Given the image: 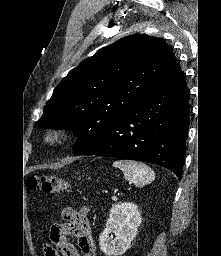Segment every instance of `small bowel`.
Instances as JSON below:
<instances>
[{"label": "small bowel", "instance_id": "1", "mask_svg": "<svg viewBox=\"0 0 221 256\" xmlns=\"http://www.w3.org/2000/svg\"><path fill=\"white\" fill-rule=\"evenodd\" d=\"M87 213V209H64L62 216L65 222L51 227L49 242L44 245V255L95 256V245ZM68 235L77 238L78 246L67 239Z\"/></svg>", "mask_w": 221, "mask_h": 256}]
</instances>
